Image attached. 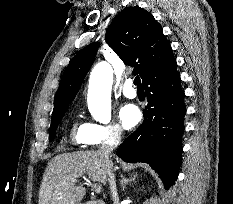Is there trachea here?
<instances>
[{
	"instance_id": "3493384b",
	"label": "trachea",
	"mask_w": 233,
	"mask_h": 204,
	"mask_svg": "<svg viewBox=\"0 0 233 204\" xmlns=\"http://www.w3.org/2000/svg\"><path fill=\"white\" fill-rule=\"evenodd\" d=\"M134 85L137 86L138 89H143V86L141 84V80L139 76H136L134 79Z\"/></svg>"
}]
</instances>
